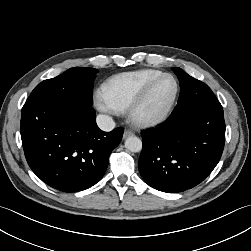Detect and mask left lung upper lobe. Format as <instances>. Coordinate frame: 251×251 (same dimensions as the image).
Segmentation results:
<instances>
[{"label": "left lung upper lobe", "mask_w": 251, "mask_h": 251, "mask_svg": "<svg viewBox=\"0 0 251 251\" xmlns=\"http://www.w3.org/2000/svg\"><path fill=\"white\" fill-rule=\"evenodd\" d=\"M172 70L180 81V93L186 91L187 89H190L195 84H204L203 82L189 76L186 72L178 67H174L172 68Z\"/></svg>", "instance_id": "obj_1"}]
</instances>
